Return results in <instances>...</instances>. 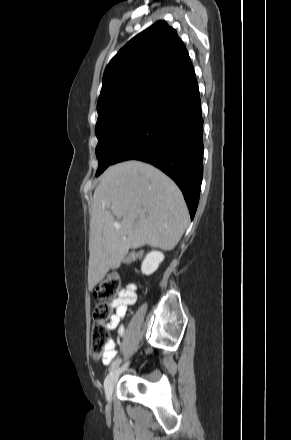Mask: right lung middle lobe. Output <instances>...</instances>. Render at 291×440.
Segmentation results:
<instances>
[{"mask_svg": "<svg viewBox=\"0 0 291 440\" xmlns=\"http://www.w3.org/2000/svg\"><path fill=\"white\" fill-rule=\"evenodd\" d=\"M153 96H138L128 100L112 102L99 108L95 134L98 138L96 156L99 176L139 126L154 101Z\"/></svg>", "mask_w": 291, "mask_h": 440, "instance_id": "1", "label": "right lung middle lobe"}]
</instances>
